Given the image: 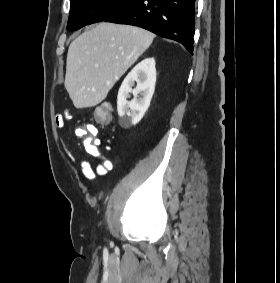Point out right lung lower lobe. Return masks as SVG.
Masks as SVG:
<instances>
[{
	"mask_svg": "<svg viewBox=\"0 0 280 283\" xmlns=\"http://www.w3.org/2000/svg\"><path fill=\"white\" fill-rule=\"evenodd\" d=\"M103 21L147 29L193 52L195 0H132Z\"/></svg>",
	"mask_w": 280,
	"mask_h": 283,
	"instance_id": "98d812e1",
	"label": "right lung lower lobe"
}]
</instances>
